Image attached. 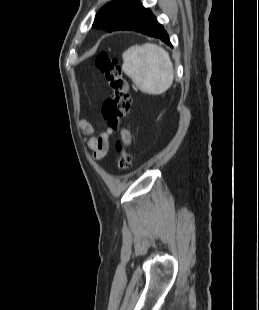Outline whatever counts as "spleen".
I'll list each match as a JSON object with an SVG mask.
<instances>
[{
  "label": "spleen",
  "mask_w": 259,
  "mask_h": 310,
  "mask_svg": "<svg viewBox=\"0 0 259 310\" xmlns=\"http://www.w3.org/2000/svg\"><path fill=\"white\" fill-rule=\"evenodd\" d=\"M124 73L140 91L159 95L167 91L174 79L173 64L162 47L145 43L133 45L122 55Z\"/></svg>",
  "instance_id": "obj_1"
}]
</instances>
